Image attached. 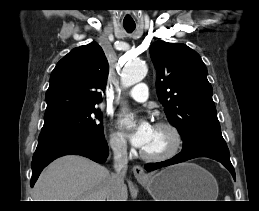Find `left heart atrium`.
Masks as SVG:
<instances>
[{"instance_id": "left-heart-atrium-1", "label": "left heart atrium", "mask_w": 259, "mask_h": 211, "mask_svg": "<svg viewBox=\"0 0 259 211\" xmlns=\"http://www.w3.org/2000/svg\"><path fill=\"white\" fill-rule=\"evenodd\" d=\"M119 125L122 128H125L127 125V121L125 119H121L119 121ZM153 126L146 120H140L137 122L132 128L128 130V137L131 143L138 148H143L152 133Z\"/></svg>"}]
</instances>
